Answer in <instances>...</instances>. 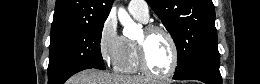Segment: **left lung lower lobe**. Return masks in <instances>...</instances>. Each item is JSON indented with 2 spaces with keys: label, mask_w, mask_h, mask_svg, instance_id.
I'll return each mask as SVG.
<instances>
[{
  "label": "left lung lower lobe",
  "mask_w": 260,
  "mask_h": 84,
  "mask_svg": "<svg viewBox=\"0 0 260 84\" xmlns=\"http://www.w3.org/2000/svg\"><path fill=\"white\" fill-rule=\"evenodd\" d=\"M220 58L202 61L182 75L174 76L176 80H199L206 84H222L219 71Z\"/></svg>",
  "instance_id": "left-lung-lower-lobe-1"
}]
</instances>
